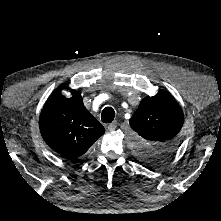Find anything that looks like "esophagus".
Returning a JSON list of instances; mask_svg holds the SVG:
<instances>
[{
	"instance_id": "obj_1",
	"label": "esophagus",
	"mask_w": 221,
	"mask_h": 221,
	"mask_svg": "<svg viewBox=\"0 0 221 221\" xmlns=\"http://www.w3.org/2000/svg\"><path fill=\"white\" fill-rule=\"evenodd\" d=\"M117 128V121H113L112 123L109 124L108 130L109 131H114Z\"/></svg>"
}]
</instances>
